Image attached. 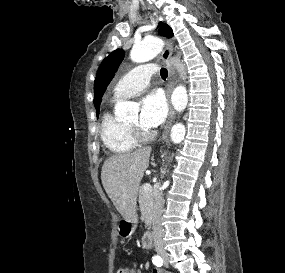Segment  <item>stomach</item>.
Returning a JSON list of instances; mask_svg holds the SVG:
<instances>
[{
	"mask_svg": "<svg viewBox=\"0 0 285 273\" xmlns=\"http://www.w3.org/2000/svg\"><path fill=\"white\" fill-rule=\"evenodd\" d=\"M137 217L133 220H123L119 225V233L123 236L132 234L136 228Z\"/></svg>",
	"mask_w": 285,
	"mask_h": 273,
	"instance_id": "obj_1",
	"label": "stomach"
}]
</instances>
